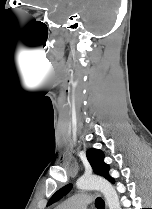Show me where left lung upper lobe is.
<instances>
[{"label": "left lung upper lobe", "instance_id": "left-lung-upper-lobe-1", "mask_svg": "<svg viewBox=\"0 0 152 209\" xmlns=\"http://www.w3.org/2000/svg\"><path fill=\"white\" fill-rule=\"evenodd\" d=\"M87 159L93 168V171L95 174H98L100 176H103L106 178L108 181L111 183H114V179L109 176V165H107L103 159H104V154L97 149L91 148L86 152ZM72 188V185H66L59 189L49 200L47 205H50L60 198H62L64 195H66Z\"/></svg>", "mask_w": 152, "mask_h": 209}]
</instances>
